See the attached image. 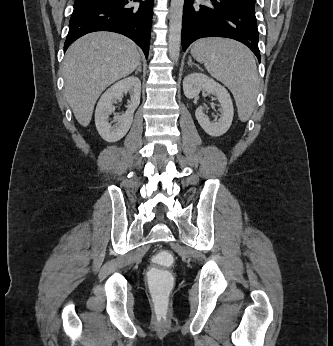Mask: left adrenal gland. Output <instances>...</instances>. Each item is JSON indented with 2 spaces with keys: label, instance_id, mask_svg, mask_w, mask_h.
Instances as JSON below:
<instances>
[{
  "label": "left adrenal gland",
  "instance_id": "obj_1",
  "mask_svg": "<svg viewBox=\"0 0 333 346\" xmlns=\"http://www.w3.org/2000/svg\"><path fill=\"white\" fill-rule=\"evenodd\" d=\"M188 58H189V60H188V65H189V66L195 65V66L199 67L196 63H193V62H192L190 56H189Z\"/></svg>",
  "mask_w": 333,
  "mask_h": 346
}]
</instances>
